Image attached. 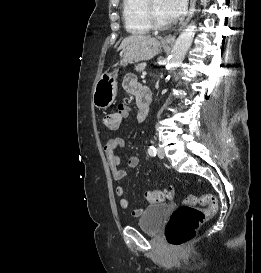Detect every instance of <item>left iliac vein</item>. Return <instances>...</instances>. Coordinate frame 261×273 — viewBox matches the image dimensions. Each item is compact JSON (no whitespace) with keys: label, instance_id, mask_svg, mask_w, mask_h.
Segmentation results:
<instances>
[{"label":"left iliac vein","instance_id":"left-iliac-vein-1","mask_svg":"<svg viewBox=\"0 0 261 273\" xmlns=\"http://www.w3.org/2000/svg\"><path fill=\"white\" fill-rule=\"evenodd\" d=\"M157 156L159 157V158H161V159H163L164 157H165V154H164V151H163V149H161V148H157Z\"/></svg>","mask_w":261,"mask_h":273}]
</instances>
